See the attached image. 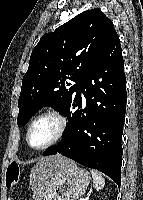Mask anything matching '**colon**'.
Here are the masks:
<instances>
[{
	"label": "colon",
	"mask_w": 143,
	"mask_h": 200,
	"mask_svg": "<svg viewBox=\"0 0 143 200\" xmlns=\"http://www.w3.org/2000/svg\"><path fill=\"white\" fill-rule=\"evenodd\" d=\"M20 178V169L16 163H11L6 171V188L9 191H15Z\"/></svg>",
	"instance_id": "5ec220e1"
}]
</instances>
